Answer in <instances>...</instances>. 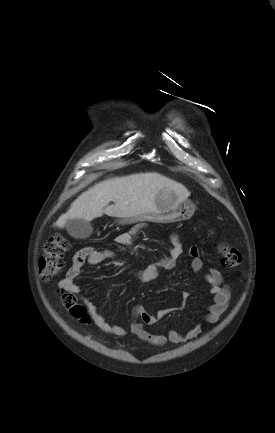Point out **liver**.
Listing matches in <instances>:
<instances>
[{
	"mask_svg": "<svg viewBox=\"0 0 275 433\" xmlns=\"http://www.w3.org/2000/svg\"><path fill=\"white\" fill-rule=\"evenodd\" d=\"M175 192L179 200H186L190 192L182 184L159 173H139L102 181L82 193L61 215L55 226L62 228L69 219L88 222L103 214L130 218L157 210L156 196L162 190ZM113 201L114 205H109Z\"/></svg>",
	"mask_w": 275,
	"mask_h": 433,
	"instance_id": "obj_1",
	"label": "liver"
}]
</instances>
